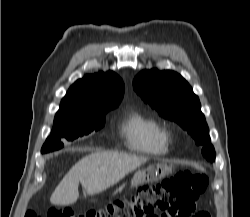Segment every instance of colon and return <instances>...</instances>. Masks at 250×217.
Listing matches in <instances>:
<instances>
[{"label": "colon", "instance_id": "1", "mask_svg": "<svg viewBox=\"0 0 250 217\" xmlns=\"http://www.w3.org/2000/svg\"><path fill=\"white\" fill-rule=\"evenodd\" d=\"M207 184L206 175L183 171L160 183L140 186L129 199H116L77 216L71 210L54 208L46 217H186ZM25 217L38 216L28 211ZM194 217H210V214L200 211Z\"/></svg>", "mask_w": 250, "mask_h": 217}]
</instances>
